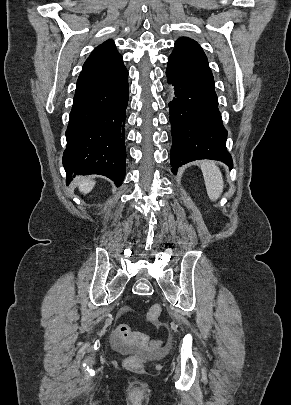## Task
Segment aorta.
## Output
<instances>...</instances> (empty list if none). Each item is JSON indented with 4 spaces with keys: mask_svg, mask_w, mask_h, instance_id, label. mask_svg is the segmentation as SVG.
<instances>
[{
    "mask_svg": "<svg viewBox=\"0 0 291 405\" xmlns=\"http://www.w3.org/2000/svg\"><path fill=\"white\" fill-rule=\"evenodd\" d=\"M170 92H171V94L173 96L174 95V87L172 85L170 86Z\"/></svg>",
    "mask_w": 291,
    "mask_h": 405,
    "instance_id": "aorta-1",
    "label": "aorta"
}]
</instances>
